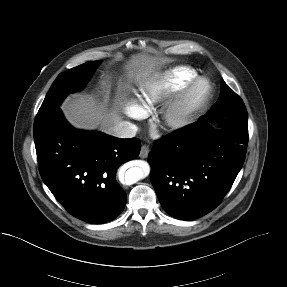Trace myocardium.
Returning <instances> with one entry per match:
<instances>
[{
	"label": "myocardium",
	"mask_w": 287,
	"mask_h": 287,
	"mask_svg": "<svg viewBox=\"0 0 287 287\" xmlns=\"http://www.w3.org/2000/svg\"><path fill=\"white\" fill-rule=\"evenodd\" d=\"M212 96L211 82L195 76L170 98L162 112L163 124L169 129L184 128L207 107Z\"/></svg>",
	"instance_id": "myocardium-1"
}]
</instances>
